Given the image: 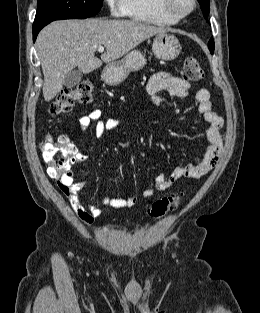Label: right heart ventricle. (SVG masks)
Masks as SVG:
<instances>
[{"instance_id": "1", "label": "right heart ventricle", "mask_w": 260, "mask_h": 313, "mask_svg": "<svg viewBox=\"0 0 260 313\" xmlns=\"http://www.w3.org/2000/svg\"><path fill=\"white\" fill-rule=\"evenodd\" d=\"M126 13L131 20L155 25H173L178 21L164 14L158 0H125Z\"/></svg>"}]
</instances>
